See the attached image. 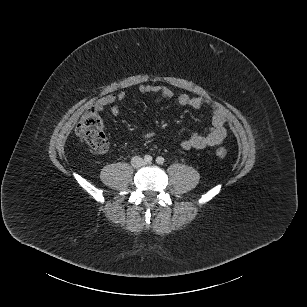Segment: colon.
Here are the masks:
<instances>
[{
	"mask_svg": "<svg viewBox=\"0 0 307 307\" xmlns=\"http://www.w3.org/2000/svg\"><path fill=\"white\" fill-rule=\"evenodd\" d=\"M77 136L82 144L91 147L95 151L99 153L107 151L108 141L104 134V125L95 107L89 108L83 115L77 127ZM216 154L220 159L225 158V148L219 147L216 150Z\"/></svg>",
	"mask_w": 307,
	"mask_h": 307,
	"instance_id": "obj_1",
	"label": "colon"
}]
</instances>
